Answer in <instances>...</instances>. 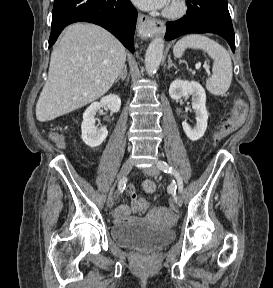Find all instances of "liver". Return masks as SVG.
Masks as SVG:
<instances>
[{"mask_svg": "<svg viewBox=\"0 0 273 288\" xmlns=\"http://www.w3.org/2000/svg\"><path fill=\"white\" fill-rule=\"evenodd\" d=\"M125 61V47L104 28L69 25L52 51L48 79L36 104L37 120H54L102 97Z\"/></svg>", "mask_w": 273, "mask_h": 288, "instance_id": "obj_1", "label": "liver"}]
</instances>
